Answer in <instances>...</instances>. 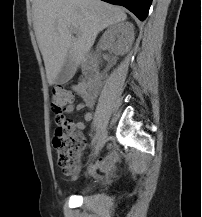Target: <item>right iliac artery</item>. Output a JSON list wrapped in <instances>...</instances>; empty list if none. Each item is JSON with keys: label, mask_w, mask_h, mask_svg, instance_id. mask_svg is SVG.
Returning a JSON list of instances; mask_svg holds the SVG:
<instances>
[{"label": "right iliac artery", "mask_w": 202, "mask_h": 217, "mask_svg": "<svg viewBox=\"0 0 202 217\" xmlns=\"http://www.w3.org/2000/svg\"><path fill=\"white\" fill-rule=\"evenodd\" d=\"M98 139H99V132L94 136L92 140V145H95Z\"/></svg>", "instance_id": "82829eb1"}]
</instances>
